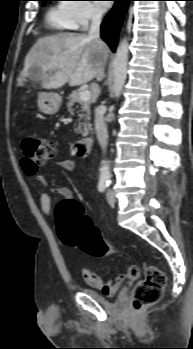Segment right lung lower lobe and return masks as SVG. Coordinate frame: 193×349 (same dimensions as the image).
<instances>
[{
  "label": "right lung lower lobe",
  "instance_id": "1",
  "mask_svg": "<svg viewBox=\"0 0 193 349\" xmlns=\"http://www.w3.org/2000/svg\"><path fill=\"white\" fill-rule=\"evenodd\" d=\"M131 0H115V5L101 25V37L114 52L117 46L118 33Z\"/></svg>",
  "mask_w": 193,
  "mask_h": 349
}]
</instances>
